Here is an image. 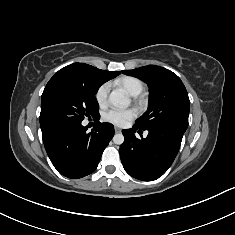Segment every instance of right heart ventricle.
<instances>
[{
  "instance_id": "obj_1",
  "label": "right heart ventricle",
  "mask_w": 235,
  "mask_h": 235,
  "mask_svg": "<svg viewBox=\"0 0 235 235\" xmlns=\"http://www.w3.org/2000/svg\"><path fill=\"white\" fill-rule=\"evenodd\" d=\"M119 84L132 96H137L143 90V83L135 77H124Z\"/></svg>"
}]
</instances>
